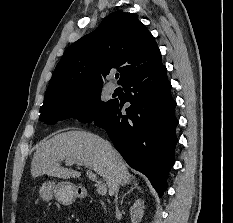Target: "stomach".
Instances as JSON below:
<instances>
[{
  "label": "stomach",
  "mask_w": 233,
  "mask_h": 223,
  "mask_svg": "<svg viewBox=\"0 0 233 223\" xmlns=\"http://www.w3.org/2000/svg\"><path fill=\"white\" fill-rule=\"evenodd\" d=\"M37 191L43 201L56 199L62 205H72L80 193L75 183H71V181H53V179L40 183Z\"/></svg>",
  "instance_id": "0dacf381"
}]
</instances>
